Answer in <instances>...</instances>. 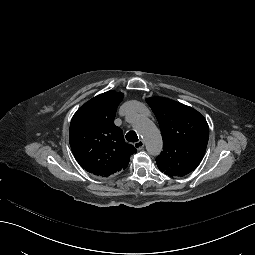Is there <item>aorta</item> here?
<instances>
[{
	"mask_svg": "<svg viewBox=\"0 0 255 255\" xmlns=\"http://www.w3.org/2000/svg\"><path fill=\"white\" fill-rule=\"evenodd\" d=\"M133 127L142 136L147 151L152 155H158L162 150V138L156 125L146 117L137 115Z\"/></svg>",
	"mask_w": 255,
	"mask_h": 255,
	"instance_id": "obj_1",
	"label": "aorta"
}]
</instances>
